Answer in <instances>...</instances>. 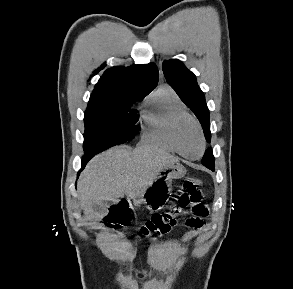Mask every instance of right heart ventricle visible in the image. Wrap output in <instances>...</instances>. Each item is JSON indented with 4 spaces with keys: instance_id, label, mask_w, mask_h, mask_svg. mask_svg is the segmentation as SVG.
<instances>
[{
    "instance_id": "e07e8e85",
    "label": "right heart ventricle",
    "mask_w": 293,
    "mask_h": 289,
    "mask_svg": "<svg viewBox=\"0 0 293 289\" xmlns=\"http://www.w3.org/2000/svg\"><path fill=\"white\" fill-rule=\"evenodd\" d=\"M187 109L177 94L168 86L157 88L143 102L141 110V141L175 153L170 139L173 120Z\"/></svg>"
}]
</instances>
